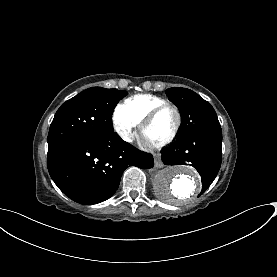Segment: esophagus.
<instances>
[{
    "label": "esophagus",
    "mask_w": 277,
    "mask_h": 277,
    "mask_svg": "<svg viewBox=\"0 0 277 277\" xmlns=\"http://www.w3.org/2000/svg\"><path fill=\"white\" fill-rule=\"evenodd\" d=\"M155 167L157 168H162L164 166L163 162L160 160V158H156L155 159V163H154Z\"/></svg>",
    "instance_id": "34e87169"
}]
</instances>
